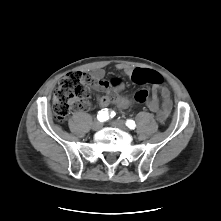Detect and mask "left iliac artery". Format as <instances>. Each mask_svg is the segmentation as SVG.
<instances>
[{"instance_id":"44dca946","label":"left iliac artery","mask_w":221,"mask_h":221,"mask_svg":"<svg viewBox=\"0 0 221 221\" xmlns=\"http://www.w3.org/2000/svg\"><path fill=\"white\" fill-rule=\"evenodd\" d=\"M126 126L130 129H134L136 127V124L133 120H127L126 121Z\"/></svg>"}]
</instances>
